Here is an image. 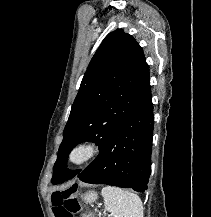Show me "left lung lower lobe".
Segmentation results:
<instances>
[{"mask_svg": "<svg viewBox=\"0 0 211 217\" xmlns=\"http://www.w3.org/2000/svg\"><path fill=\"white\" fill-rule=\"evenodd\" d=\"M153 127L150 96L112 131L98 157L77 177L86 183L146 191L151 174Z\"/></svg>", "mask_w": 211, "mask_h": 217, "instance_id": "obj_1", "label": "left lung lower lobe"}]
</instances>
